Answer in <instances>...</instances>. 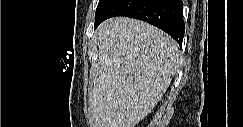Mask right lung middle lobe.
<instances>
[{
  "instance_id": "1",
  "label": "right lung middle lobe",
  "mask_w": 243,
  "mask_h": 127,
  "mask_svg": "<svg viewBox=\"0 0 243 127\" xmlns=\"http://www.w3.org/2000/svg\"><path fill=\"white\" fill-rule=\"evenodd\" d=\"M109 0H99L95 15L106 5Z\"/></svg>"
}]
</instances>
